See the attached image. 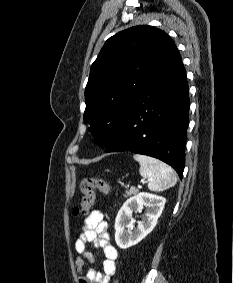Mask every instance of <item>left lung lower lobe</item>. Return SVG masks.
<instances>
[{
	"label": "left lung lower lobe",
	"instance_id": "obj_1",
	"mask_svg": "<svg viewBox=\"0 0 233 283\" xmlns=\"http://www.w3.org/2000/svg\"><path fill=\"white\" fill-rule=\"evenodd\" d=\"M189 107L186 71L175 46L147 80L106 152L128 150L155 157L172 166L182 179Z\"/></svg>",
	"mask_w": 233,
	"mask_h": 283
}]
</instances>
